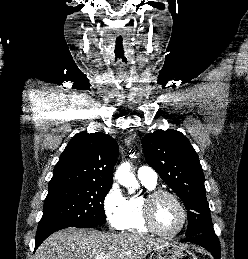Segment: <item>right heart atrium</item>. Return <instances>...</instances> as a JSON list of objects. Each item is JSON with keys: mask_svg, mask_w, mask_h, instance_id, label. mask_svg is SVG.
Segmentation results:
<instances>
[{"mask_svg": "<svg viewBox=\"0 0 248 259\" xmlns=\"http://www.w3.org/2000/svg\"><path fill=\"white\" fill-rule=\"evenodd\" d=\"M103 208L109 225L122 230L127 209V199L120 187L114 183L106 193Z\"/></svg>", "mask_w": 248, "mask_h": 259, "instance_id": "d8ad5b80", "label": "right heart atrium"}]
</instances>
